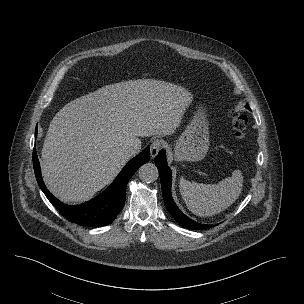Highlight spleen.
Returning a JSON list of instances; mask_svg holds the SVG:
<instances>
[{
	"label": "spleen",
	"mask_w": 304,
	"mask_h": 304,
	"mask_svg": "<svg viewBox=\"0 0 304 304\" xmlns=\"http://www.w3.org/2000/svg\"><path fill=\"white\" fill-rule=\"evenodd\" d=\"M243 177L235 170L218 184H203L180 180V192L188 207L195 215L205 217L218 214L232 205L242 191Z\"/></svg>",
	"instance_id": "1"
}]
</instances>
